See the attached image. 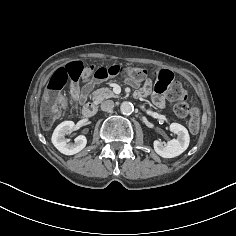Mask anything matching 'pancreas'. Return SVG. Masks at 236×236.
Wrapping results in <instances>:
<instances>
[{
    "mask_svg": "<svg viewBox=\"0 0 236 236\" xmlns=\"http://www.w3.org/2000/svg\"><path fill=\"white\" fill-rule=\"evenodd\" d=\"M116 97L117 95L109 88H100L92 92V100L95 105H98L105 99Z\"/></svg>",
    "mask_w": 236,
    "mask_h": 236,
    "instance_id": "1",
    "label": "pancreas"
}]
</instances>
